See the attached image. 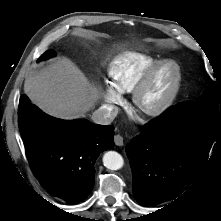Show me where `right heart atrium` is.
<instances>
[{
    "instance_id": "right-heart-atrium-1",
    "label": "right heart atrium",
    "mask_w": 221,
    "mask_h": 221,
    "mask_svg": "<svg viewBox=\"0 0 221 221\" xmlns=\"http://www.w3.org/2000/svg\"><path fill=\"white\" fill-rule=\"evenodd\" d=\"M103 95L107 106L110 108L120 105L123 101L121 93L110 84L106 86Z\"/></svg>"
}]
</instances>
